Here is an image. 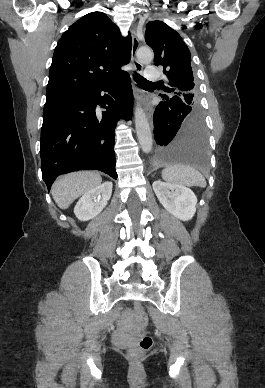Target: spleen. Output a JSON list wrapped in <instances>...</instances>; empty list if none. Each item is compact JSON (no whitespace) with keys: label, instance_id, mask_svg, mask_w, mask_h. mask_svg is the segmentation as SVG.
I'll list each match as a JSON object with an SVG mask.
<instances>
[{"label":"spleen","instance_id":"3e777b00","mask_svg":"<svg viewBox=\"0 0 265 388\" xmlns=\"http://www.w3.org/2000/svg\"><path fill=\"white\" fill-rule=\"evenodd\" d=\"M162 178L170 184H178V186H201L205 188L206 182L202 174L184 164H171L165 170H162Z\"/></svg>","mask_w":265,"mask_h":388}]
</instances>
